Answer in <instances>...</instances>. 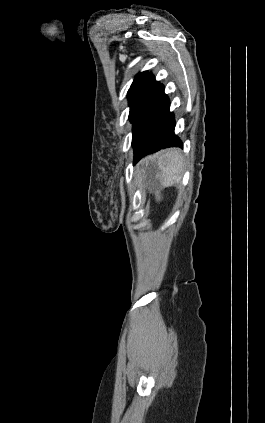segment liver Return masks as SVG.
I'll return each instance as SVG.
<instances>
[{"label": "liver", "mask_w": 265, "mask_h": 423, "mask_svg": "<svg viewBox=\"0 0 265 423\" xmlns=\"http://www.w3.org/2000/svg\"><path fill=\"white\" fill-rule=\"evenodd\" d=\"M152 164H156L161 173L158 179L162 187H170L181 179V174L184 168V157L180 149L170 148L156 153L151 159ZM160 195L157 193L156 199L160 200Z\"/></svg>", "instance_id": "1"}]
</instances>
